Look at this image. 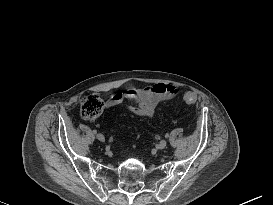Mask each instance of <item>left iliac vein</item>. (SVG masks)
I'll list each match as a JSON object with an SVG mask.
<instances>
[{"label": "left iliac vein", "mask_w": 273, "mask_h": 205, "mask_svg": "<svg viewBox=\"0 0 273 205\" xmlns=\"http://www.w3.org/2000/svg\"><path fill=\"white\" fill-rule=\"evenodd\" d=\"M167 145V141L165 139L161 140L157 145L158 149H164Z\"/></svg>", "instance_id": "1"}]
</instances>
